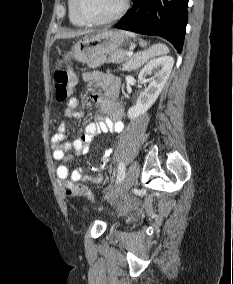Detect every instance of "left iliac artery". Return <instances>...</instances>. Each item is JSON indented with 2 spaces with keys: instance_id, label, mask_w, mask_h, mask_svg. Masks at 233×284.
I'll return each instance as SVG.
<instances>
[{
  "instance_id": "1",
  "label": "left iliac artery",
  "mask_w": 233,
  "mask_h": 284,
  "mask_svg": "<svg viewBox=\"0 0 233 284\" xmlns=\"http://www.w3.org/2000/svg\"><path fill=\"white\" fill-rule=\"evenodd\" d=\"M125 178V165L123 162L119 163L118 166V175H117V180L116 183L119 184L121 183Z\"/></svg>"
}]
</instances>
